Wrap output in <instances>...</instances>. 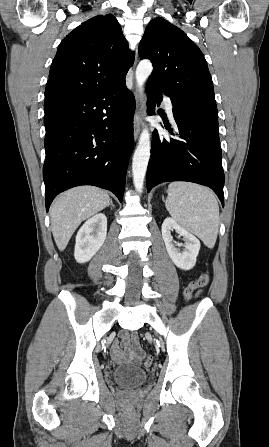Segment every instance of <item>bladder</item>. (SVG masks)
<instances>
[{"mask_svg": "<svg viewBox=\"0 0 269 447\" xmlns=\"http://www.w3.org/2000/svg\"><path fill=\"white\" fill-rule=\"evenodd\" d=\"M111 378L116 385L137 388L147 381L148 373L136 366L123 365L115 368Z\"/></svg>", "mask_w": 269, "mask_h": 447, "instance_id": "bladder-1", "label": "bladder"}]
</instances>
